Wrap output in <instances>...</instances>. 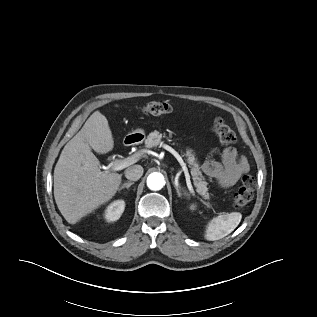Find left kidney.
Listing matches in <instances>:
<instances>
[{
  "mask_svg": "<svg viewBox=\"0 0 317 317\" xmlns=\"http://www.w3.org/2000/svg\"><path fill=\"white\" fill-rule=\"evenodd\" d=\"M190 209L191 210H195L196 209V205L195 204H191Z\"/></svg>",
  "mask_w": 317,
  "mask_h": 317,
  "instance_id": "obj_1",
  "label": "left kidney"
}]
</instances>
